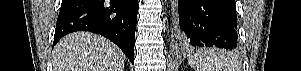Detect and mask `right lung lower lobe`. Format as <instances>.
I'll use <instances>...</instances> for the list:
<instances>
[{
	"label": "right lung lower lobe",
	"instance_id": "98d812e1",
	"mask_svg": "<svg viewBox=\"0 0 301 71\" xmlns=\"http://www.w3.org/2000/svg\"><path fill=\"white\" fill-rule=\"evenodd\" d=\"M137 0H62L54 45L75 31L100 34L116 45L134 63Z\"/></svg>",
	"mask_w": 301,
	"mask_h": 71
}]
</instances>
